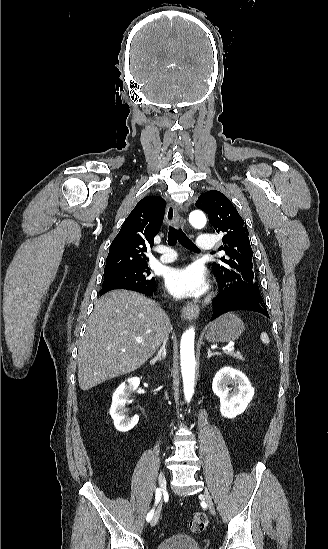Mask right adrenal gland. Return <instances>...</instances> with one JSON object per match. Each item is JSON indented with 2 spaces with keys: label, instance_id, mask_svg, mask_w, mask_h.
Segmentation results:
<instances>
[{
  "label": "right adrenal gland",
  "instance_id": "2a0ac1e0",
  "mask_svg": "<svg viewBox=\"0 0 328 549\" xmlns=\"http://www.w3.org/2000/svg\"><path fill=\"white\" fill-rule=\"evenodd\" d=\"M165 345L166 343H163V347H161L160 351H158V355L152 359L153 363H156V361H161V359L166 357Z\"/></svg>",
  "mask_w": 328,
  "mask_h": 549
}]
</instances>
